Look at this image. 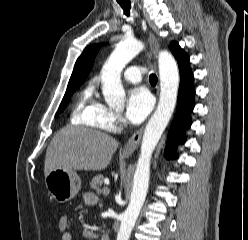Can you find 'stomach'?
Here are the masks:
<instances>
[{"label":"stomach","instance_id":"obj_1","mask_svg":"<svg viewBox=\"0 0 248 240\" xmlns=\"http://www.w3.org/2000/svg\"><path fill=\"white\" fill-rule=\"evenodd\" d=\"M45 184L52 197L59 203L74 198L81 189V179L74 171L56 169L45 177Z\"/></svg>","mask_w":248,"mask_h":240}]
</instances>
